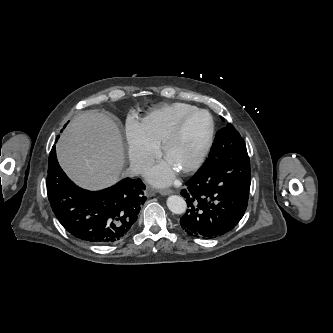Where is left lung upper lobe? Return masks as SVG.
<instances>
[{"label": "left lung upper lobe", "mask_w": 333, "mask_h": 333, "mask_svg": "<svg viewBox=\"0 0 333 333\" xmlns=\"http://www.w3.org/2000/svg\"><path fill=\"white\" fill-rule=\"evenodd\" d=\"M223 119V118H222ZM231 130L228 138L218 140L213 143L209 158L226 159L236 156L240 152L246 151V145L243 138L230 123L225 127Z\"/></svg>", "instance_id": "1"}]
</instances>
